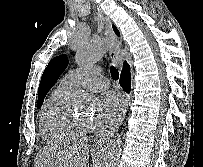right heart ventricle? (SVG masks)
<instances>
[{"label":"right heart ventricle","instance_id":"right-heart-ventricle-1","mask_svg":"<svg viewBox=\"0 0 203 167\" xmlns=\"http://www.w3.org/2000/svg\"><path fill=\"white\" fill-rule=\"evenodd\" d=\"M73 88L61 82L46 100L41 115V134L51 144H64L75 140L79 133L73 126V113L69 99Z\"/></svg>","mask_w":203,"mask_h":167}]
</instances>
